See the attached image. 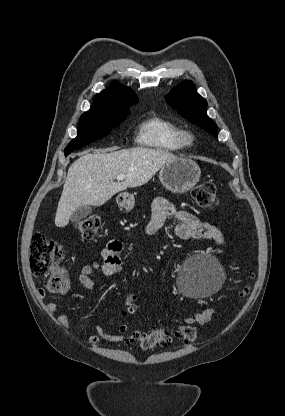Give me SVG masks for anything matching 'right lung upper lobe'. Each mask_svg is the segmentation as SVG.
<instances>
[{"label":"right lung upper lobe","mask_w":285,"mask_h":416,"mask_svg":"<svg viewBox=\"0 0 285 416\" xmlns=\"http://www.w3.org/2000/svg\"><path fill=\"white\" fill-rule=\"evenodd\" d=\"M138 98L128 87L114 82L109 88L96 94L91 109L111 110L128 108L136 104Z\"/></svg>","instance_id":"obj_1"}]
</instances>
